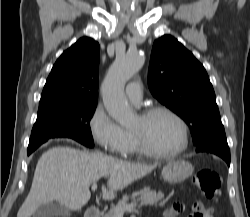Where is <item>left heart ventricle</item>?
Masks as SVG:
<instances>
[{"label": "left heart ventricle", "mask_w": 250, "mask_h": 217, "mask_svg": "<svg viewBox=\"0 0 250 217\" xmlns=\"http://www.w3.org/2000/svg\"><path fill=\"white\" fill-rule=\"evenodd\" d=\"M145 142L158 152H169L181 143V129L178 123L165 113H156L146 120L140 116L131 127Z\"/></svg>", "instance_id": "left-heart-ventricle-1"}]
</instances>
